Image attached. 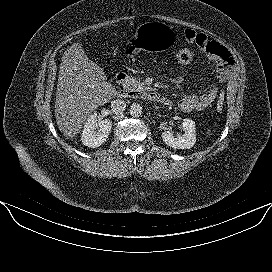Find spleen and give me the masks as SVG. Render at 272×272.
Here are the masks:
<instances>
[{
	"label": "spleen",
	"instance_id": "3e777b00",
	"mask_svg": "<svg viewBox=\"0 0 272 272\" xmlns=\"http://www.w3.org/2000/svg\"><path fill=\"white\" fill-rule=\"evenodd\" d=\"M207 135H208V136H210V131H209V132H207Z\"/></svg>",
	"mask_w": 272,
	"mask_h": 272
}]
</instances>
